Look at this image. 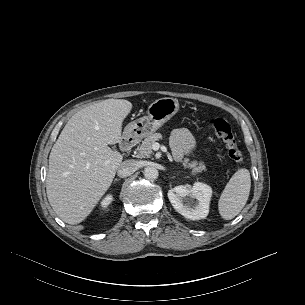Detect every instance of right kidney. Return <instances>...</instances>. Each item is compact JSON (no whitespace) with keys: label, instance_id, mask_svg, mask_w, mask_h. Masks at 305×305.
I'll use <instances>...</instances> for the list:
<instances>
[{"label":"right kidney","instance_id":"obj_1","mask_svg":"<svg viewBox=\"0 0 305 305\" xmlns=\"http://www.w3.org/2000/svg\"><path fill=\"white\" fill-rule=\"evenodd\" d=\"M113 200V196L111 194L107 195L101 202V207L103 209L107 208Z\"/></svg>","mask_w":305,"mask_h":305}]
</instances>
